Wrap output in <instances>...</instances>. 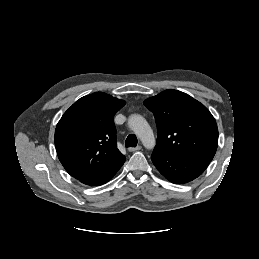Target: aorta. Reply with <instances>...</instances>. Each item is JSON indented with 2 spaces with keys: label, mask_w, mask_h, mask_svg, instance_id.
<instances>
[{
  "label": "aorta",
  "mask_w": 259,
  "mask_h": 259,
  "mask_svg": "<svg viewBox=\"0 0 259 259\" xmlns=\"http://www.w3.org/2000/svg\"><path fill=\"white\" fill-rule=\"evenodd\" d=\"M128 126L141 140L147 149H153L155 146V138L148 122L139 114H132L128 118Z\"/></svg>",
  "instance_id": "1"
}]
</instances>
